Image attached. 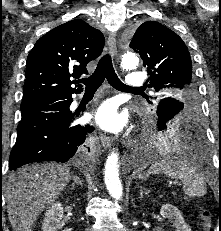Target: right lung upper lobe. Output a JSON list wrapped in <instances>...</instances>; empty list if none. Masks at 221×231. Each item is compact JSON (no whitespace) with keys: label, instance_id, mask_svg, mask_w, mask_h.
I'll list each match as a JSON object with an SVG mask.
<instances>
[{"label":"right lung upper lobe","instance_id":"cb5924a9","mask_svg":"<svg viewBox=\"0 0 221 231\" xmlns=\"http://www.w3.org/2000/svg\"><path fill=\"white\" fill-rule=\"evenodd\" d=\"M103 34L80 19L42 36L27 58L24 100H43L82 92L70 78L86 74V65L102 53Z\"/></svg>","mask_w":221,"mask_h":231}]
</instances>
